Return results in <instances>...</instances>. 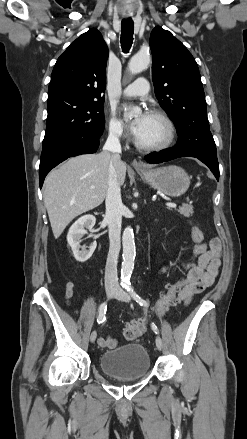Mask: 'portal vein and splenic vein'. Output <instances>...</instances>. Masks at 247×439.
I'll use <instances>...</instances> for the list:
<instances>
[{
	"label": "portal vein and splenic vein",
	"instance_id": "portal-vein-and-splenic-vein-1",
	"mask_svg": "<svg viewBox=\"0 0 247 439\" xmlns=\"http://www.w3.org/2000/svg\"><path fill=\"white\" fill-rule=\"evenodd\" d=\"M91 189H94V187L92 186ZM166 206H167V207H171V208H175L177 205H176V203H174V202H167V203H166Z\"/></svg>",
	"mask_w": 247,
	"mask_h": 439
}]
</instances>
